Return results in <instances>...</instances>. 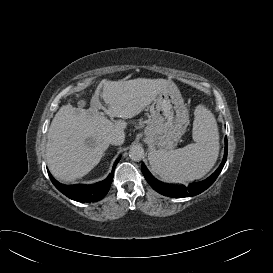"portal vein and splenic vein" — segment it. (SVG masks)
<instances>
[{"instance_id":"18ae733b","label":"portal vein and splenic vein","mask_w":273,"mask_h":273,"mask_svg":"<svg viewBox=\"0 0 273 273\" xmlns=\"http://www.w3.org/2000/svg\"><path fill=\"white\" fill-rule=\"evenodd\" d=\"M105 113H106V114H109L111 117L114 116V114H111L108 110H105Z\"/></svg>"}]
</instances>
